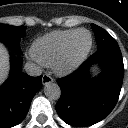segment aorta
I'll return each instance as SVG.
<instances>
[{"instance_id":"aorta-1","label":"aorta","mask_w":128,"mask_h":128,"mask_svg":"<svg viewBox=\"0 0 128 128\" xmlns=\"http://www.w3.org/2000/svg\"><path fill=\"white\" fill-rule=\"evenodd\" d=\"M44 94L49 100H58L61 96V89L58 84L48 82L44 87Z\"/></svg>"}]
</instances>
